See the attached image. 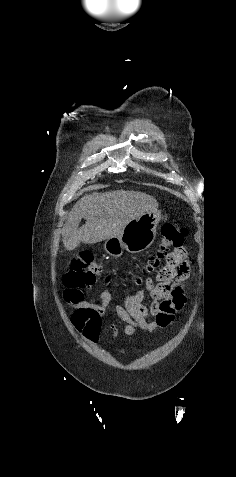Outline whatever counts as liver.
Segmentation results:
<instances>
[{"label": "liver", "instance_id": "6515ba94", "mask_svg": "<svg viewBox=\"0 0 236 477\" xmlns=\"http://www.w3.org/2000/svg\"><path fill=\"white\" fill-rule=\"evenodd\" d=\"M158 202L152 196L117 190L95 192L81 198L69 213L62 230V241L67 250L80 242L94 244L120 235L127 224L147 212L157 211ZM81 219L86 223L81 228Z\"/></svg>", "mask_w": 236, "mask_h": 477}]
</instances>
